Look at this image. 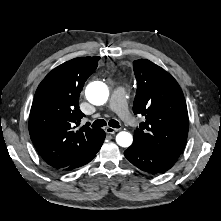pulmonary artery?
Wrapping results in <instances>:
<instances>
[{"instance_id": "e3ab8cb5", "label": "pulmonary artery", "mask_w": 221, "mask_h": 221, "mask_svg": "<svg viewBox=\"0 0 221 221\" xmlns=\"http://www.w3.org/2000/svg\"><path fill=\"white\" fill-rule=\"evenodd\" d=\"M109 108L116 112L124 123L131 127H136L138 121L130 114L126 103V88L116 87L111 94Z\"/></svg>"}]
</instances>
